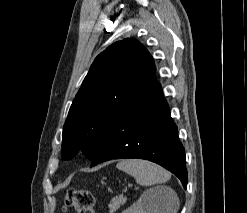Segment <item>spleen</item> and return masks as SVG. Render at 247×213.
<instances>
[{
    "label": "spleen",
    "mask_w": 247,
    "mask_h": 213,
    "mask_svg": "<svg viewBox=\"0 0 247 213\" xmlns=\"http://www.w3.org/2000/svg\"><path fill=\"white\" fill-rule=\"evenodd\" d=\"M117 168L134 177L136 182L144 186H152L167 182L171 174L161 166L152 162L140 159L122 160L117 164ZM174 213L178 210L179 202L175 198Z\"/></svg>",
    "instance_id": "3e777b00"
}]
</instances>
